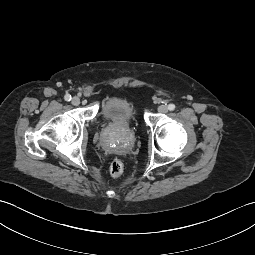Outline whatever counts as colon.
<instances>
[{
    "instance_id": "colon-1",
    "label": "colon",
    "mask_w": 255,
    "mask_h": 255,
    "mask_svg": "<svg viewBox=\"0 0 255 255\" xmlns=\"http://www.w3.org/2000/svg\"><path fill=\"white\" fill-rule=\"evenodd\" d=\"M124 172V163L120 158H114L109 165V173L112 177H119Z\"/></svg>"
}]
</instances>
